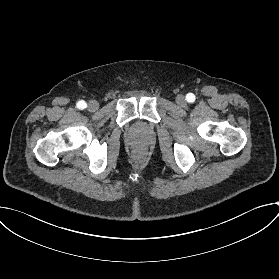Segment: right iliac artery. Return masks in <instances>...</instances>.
<instances>
[{
	"label": "right iliac artery",
	"mask_w": 279,
	"mask_h": 279,
	"mask_svg": "<svg viewBox=\"0 0 279 279\" xmlns=\"http://www.w3.org/2000/svg\"><path fill=\"white\" fill-rule=\"evenodd\" d=\"M77 107H78L79 109H84V108L87 107V104L85 103V101L81 100V101H79V102L77 103Z\"/></svg>",
	"instance_id": "82829eb1"
}]
</instances>
